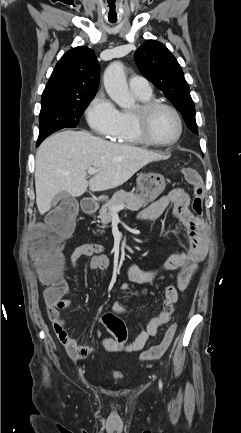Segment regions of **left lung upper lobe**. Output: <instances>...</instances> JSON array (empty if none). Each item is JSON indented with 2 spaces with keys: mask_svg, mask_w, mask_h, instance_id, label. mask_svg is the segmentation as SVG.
<instances>
[{
  "mask_svg": "<svg viewBox=\"0 0 241 433\" xmlns=\"http://www.w3.org/2000/svg\"><path fill=\"white\" fill-rule=\"evenodd\" d=\"M134 58L141 74L180 110L188 128L197 134L195 105L174 55L161 42L148 40L138 48Z\"/></svg>",
  "mask_w": 241,
  "mask_h": 433,
  "instance_id": "obj_1",
  "label": "left lung upper lobe"
}]
</instances>
